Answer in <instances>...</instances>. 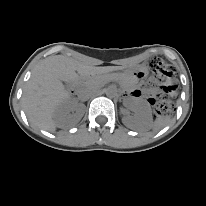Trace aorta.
Returning a JSON list of instances; mask_svg holds the SVG:
<instances>
[{
    "label": "aorta",
    "mask_w": 206,
    "mask_h": 206,
    "mask_svg": "<svg viewBox=\"0 0 206 206\" xmlns=\"http://www.w3.org/2000/svg\"><path fill=\"white\" fill-rule=\"evenodd\" d=\"M105 92H106V94H107L108 96H114V95H116L117 90H116L115 87L110 86V87H108V88L106 89Z\"/></svg>",
    "instance_id": "1"
}]
</instances>
